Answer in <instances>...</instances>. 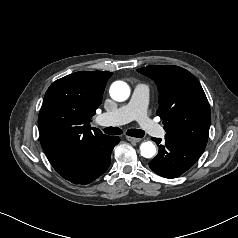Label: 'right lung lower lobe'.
<instances>
[{"label":"right lung lower lobe","instance_id":"obj_1","mask_svg":"<svg viewBox=\"0 0 238 238\" xmlns=\"http://www.w3.org/2000/svg\"><path fill=\"white\" fill-rule=\"evenodd\" d=\"M119 141L116 136L96 137L70 161L54 168L64 179L74 184L91 183L108 169L112 149Z\"/></svg>","mask_w":238,"mask_h":238}]
</instances>
